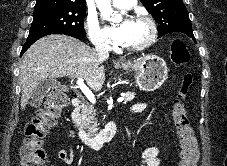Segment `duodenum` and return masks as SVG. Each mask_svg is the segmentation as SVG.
Returning <instances> with one entry per match:
<instances>
[{
  "label": "duodenum",
  "mask_w": 227,
  "mask_h": 166,
  "mask_svg": "<svg viewBox=\"0 0 227 166\" xmlns=\"http://www.w3.org/2000/svg\"><path fill=\"white\" fill-rule=\"evenodd\" d=\"M72 105L74 108L72 112V120L75 122L78 116V111L82 105V99L74 98L72 100ZM115 131L116 123L114 121H110L96 136L88 135L85 130L79 127V137L88 148L92 150H99L106 142L112 139Z\"/></svg>",
  "instance_id": "410a0bca"
}]
</instances>
